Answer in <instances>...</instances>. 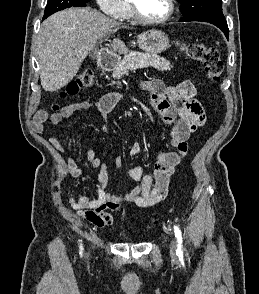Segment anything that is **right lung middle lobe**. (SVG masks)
Wrapping results in <instances>:
<instances>
[{"label":"right lung middle lobe","instance_id":"dd1d6c3e","mask_svg":"<svg viewBox=\"0 0 259 294\" xmlns=\"http://www.w3.org/2000/svg\"><path fill=\"white\" fill-rule=\"evenodd\" d=\"M89 1L90 0H48L44 11V18L69 7H84Z\"/></svg>","mask_w":259,"mask_h":294}]
</instances>
